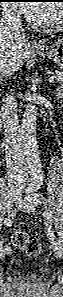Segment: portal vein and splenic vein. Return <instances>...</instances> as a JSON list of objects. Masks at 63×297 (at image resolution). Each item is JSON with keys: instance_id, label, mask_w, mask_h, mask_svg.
<instances>
[{"instance_id": "18ae733b", "label": "portal vein and splenic vein", "mask_w": 63, "mask_h": 297, "mask_svg": "<svg viewBox=\"0 0 63 297\" xmlns=\"http://www.w3.org/2000/svg\"><path fill=\"white\" fill-rule=\"evenodd\" d=\"M48 80H49V82H56L57 77L56 76H50Z\"/></svg>"}]
</instances>
